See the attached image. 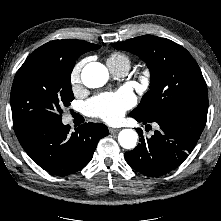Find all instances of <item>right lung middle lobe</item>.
<instances>
[{
	"mask_svg": "<svg viewBox=\"0 0 221 221\" xmlns=\"http://www.w3.org/2000/svg\"><path fill=\"white\" fill-rule=\"evenodd\" d=\"M80 55L36 49L26 59L11 89L14 130L62 121V108L74 99L70 79Z\"/></svg>",
	"mask_w": 221,
	"mask_h": 221,
	"instance_id": "1",
	"label": "right lung middle lobe"
}]
</instances>
